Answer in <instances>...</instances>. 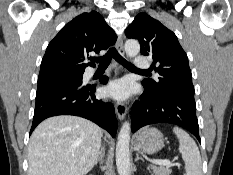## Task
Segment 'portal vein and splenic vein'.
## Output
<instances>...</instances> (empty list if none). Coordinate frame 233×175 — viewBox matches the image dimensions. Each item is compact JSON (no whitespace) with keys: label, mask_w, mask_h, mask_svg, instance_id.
<instances>
[{"label":"portal vein and splenic vein","mask_w":233,"mask_h":175,"mask_svg":"<svg viewBox=\"0 0 233 175\" xmlns=\"http://www.w3.org/2000/svg\"><path fill=\"white\" fill-rule=\"evenodd\" d=\"M151 162L153 164H156V165H160V166H170L171 165V162L169 160H157V159H154V160H151Z\"/></svg>","instance_id":"portal-vein-and-splenic-vein-1"}]
</instances>
